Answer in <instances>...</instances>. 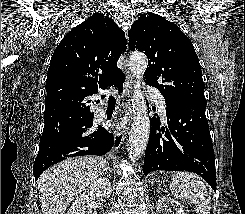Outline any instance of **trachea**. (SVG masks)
I'll return each instance as SVG.
<instances>
[{"label": "trachea", "mask_w": 245, "mask_h": 214, "mask_svg": "<svg viewBox=\"0 0 245 214\" xmlns=\"http://www.w3.org/2000/svg\"><path fill=\"white\" fill-rule=\"evenodd\" d=\"M106 95L105 94H102L101 95V98H104ZM109 103H115L116 102V99H115V97L114 96H112V95H110L109 96V101H108Z\"/></svg>", "instance_id": "trachea-1"}]
</instances>
